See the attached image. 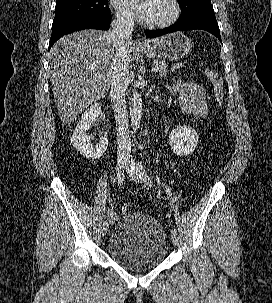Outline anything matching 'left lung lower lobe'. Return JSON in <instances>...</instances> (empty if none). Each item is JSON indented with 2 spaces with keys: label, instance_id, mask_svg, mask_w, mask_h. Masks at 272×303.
I'll return each mask as SVG.
<instances>
[{
  "label": "left lung lower lobe",
  "instance_id": "left-lung-lower-lobe-1",
  "mask_svg": "<svg viewBox=\"0 0 272 303\" xmlns=\"http://www.w3.org/2000/svg\"><path fill=\"white\" fill-rule=\"evenodd\" d=\"M196 29L208 31L221 41L220 30L216 18L178 21L177 23L165 29L145 30V34L149 38H155L176 31L196 30Z\"/></svg>",
  "mask_w": 272,
  "mask_h": 303
}]
</instances>
